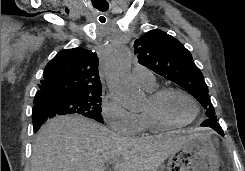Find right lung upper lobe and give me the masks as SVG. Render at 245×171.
Returning a JSON list of instances; mask_svg holds the SVG:
<instances>
[{
  "mask_svg": "<svg viewBox=\"0 0 245 171\" xmlns=\"http://www.w3.org/2000/svg\"><path fill=\"white\" fill-rule=\"evenodd\" d=\"M98 63L96 54L82 47L59 51L44 69L34 104L49 96L101 94Z\"/></svg>",
  "mask_w": 245,
  "mask_h": 171,
  "instance_id": "right-lung-upper-lobe-1",
  "label": "right lung upper lobe"
}]
</instances>
